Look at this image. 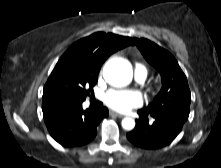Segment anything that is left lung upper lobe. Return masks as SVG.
<instances>
[{"label":"left lung upper lobe","instance_id":"5c2ea615","mask_svg":"<svg viewBox=\"0 0 221 168\" xmlns=\"http://www.w3.org/2000/svg\"><path fill=\"white\" fill-rule=\"evenodd\" d=\"M144 58L160 73L162 88L152 103L141 111L154 114H178L188 118L191 102L187 78L176 59L167 50L147 39H134Z\"/></svg>","mask_w":221,"mask_h":168}]
</instances>
